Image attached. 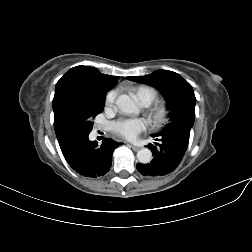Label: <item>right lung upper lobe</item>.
<instances>
[{"label": "right lung upper lobe", "instance_id": "cb5924a9", "mask_svg": "<svg viewBox=\"0 0 252 252\" xmlns=\"http://www.w3.org/2000/svg\"><path fill=\"white\" fill-rule=\"evenodd\" d=\"M119 78L101 74L96 68L76 66L67 71L57 82L53 98L54 128L58 142L67 135L59 129L57 120V104L63 94L75 91L87 95H105L112 89Z\"/></svg>", "mask_w": 252, "mask_h": 252}]
</instances>
